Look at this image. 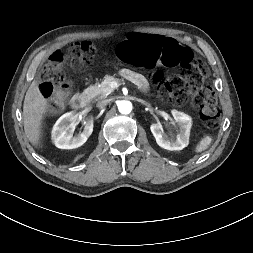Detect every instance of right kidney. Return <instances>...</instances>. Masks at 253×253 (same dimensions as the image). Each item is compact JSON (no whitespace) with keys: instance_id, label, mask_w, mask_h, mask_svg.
<instances>
[{"instance_id":"obj_1","label":"right kidney","mask_w":253,"mask_h":253,"mask_svg":"<svg viewBox=\"0 0 253 253\" xmlns=\"http://www.w3.org/2000/svg\"><path fill=\"white\" fill-rule=\"evenodd\" d=\"M77 124V114L74 112L65 113L55 123L51 137L55 146L59 149H75L82 146L93 132V121L85 123L81 134L73 137Z\"/></svg>"}]
</instances>
